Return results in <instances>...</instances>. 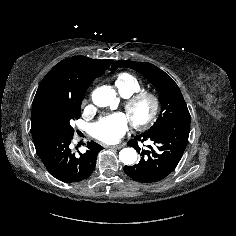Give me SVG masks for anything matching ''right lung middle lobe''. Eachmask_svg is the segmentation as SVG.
<instances>
[{"mask_svg":"<svg viewBox=\"0 0 236 236\" xmlns=\"http://www.w3.org/2000/svg\"><path fill=\"white\" fill-rule=\"evenodd\" d=\"M76 101H49L45 103L32 120L31 129L58 133L73 137L71 123L81 115V103Z\"/></svg>","mask_w":236,"mask_h":236,"instance_id":"obj_1","label":"right lung middle lobe"}]
</instances>
